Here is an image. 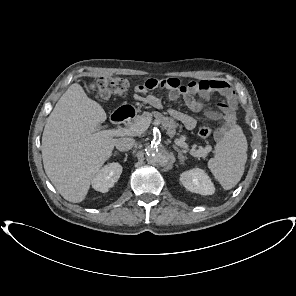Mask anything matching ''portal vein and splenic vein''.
I'll list each match as a JSON object with an SVG mask.
<instances>
[{
    "label": "portal vein and splenic vein",
    "instance_id": "18ae733b",
    "mask_svg": "<svg viewBox=\"0 0 296 296\" xmlns=\"http://www.w3.org/2000/svg\"><path fill=\"white\" fill-rule=\"evenodd\" d=\"M151 123L150 119H142L139 123H137L135 126L129 127V128H117V129H109V130H103L99 131L96 134L101 136H134V135H140L145 130L148 129L149 125ZM175 144L179 147L188 150L189 146L187 143H185V140L183 138L175 139ZM210 150V147H206L204 149L205 152H208ZM190 153L194 157L200 156V152H191Z\"/></svg>",
    "mask_w": 296,
    "mask_h": 296
}]
</instances>
